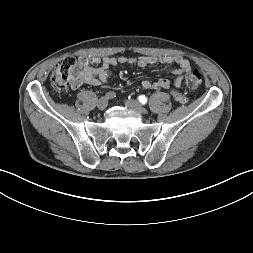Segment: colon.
<instances>
[{"mask_svg": "<svg viewBox=\"0 0 253 253\" xmlns=\"http://www.w3.org/2000/svg\"><path fill=\"white\" fill-rule=\"evenodd\" d=\"M82 65L74 57H66L53 71L50 82L55 90H67L82 72ZM203 77L198 70L189 72L184 77V84L190 89L197 88Z\"/></svg>", "mask_w": 253, "mask_h": 253, "instance_id": "5ec220e1", "label": "colon"}]
</instances>
